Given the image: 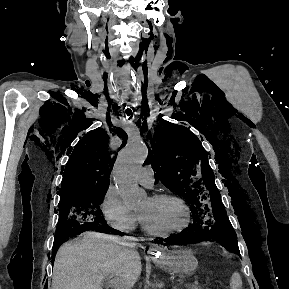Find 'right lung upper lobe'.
Returning <instances> with one entry per match:
<instances>
[{"label":"right lung upper lobe","mask_w":289,"mask_h":289,"mask_svg":"<svg viewBox=\"0 0 289 289\" xmlns=\"http://www.w3.org/2000/svg\"><path fill=\"white\" fill-rule=\"evenodd\" d=\"M107 141L105 131L97 128L78 142L62 172L63 181L58 188L61 197L108 189L113 161H110Z\"/></svg>","instance_id":"obj_1"}]
</instances>
